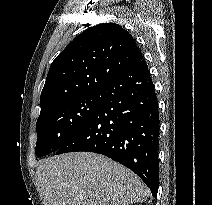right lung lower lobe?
<instances>
[{
    "instance_id": "right-lung-lower-lobe-1",
    "label": "right lung lower lobe",
    "mask_w": 212,
    "mask_h": 205,
    "mask_svg": "<svg viewBox=\"0 0 212 205\" xmlns=\"http://www.w3.org/2000/svg\"><path fill=\"white\" fill-rule=\"evenodd\" d=\"M100 92V104L56 155L77 151L103 154L135 172L156 197L160 120L146 61L121 72Z\"/></svg>"
}]
</instances>
